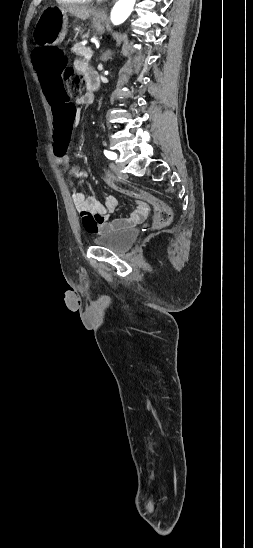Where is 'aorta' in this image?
Segmentation results:
<instances>
[{"label": "aorta", "instance_id": "1", "mask_svg": "<svg viewBox=\"0 0 253 548\" xmlns=\"http://www.w3.org/2000/svg\"><path fill=\"white\" fill-rule=\"evenodd\" d=\"M136 0H118L111 11V22L114 25L122 24L133 11Z\"/></svg>", "mask_w": 253, "mask_h": 548}]
</instances>
